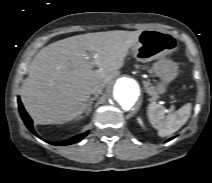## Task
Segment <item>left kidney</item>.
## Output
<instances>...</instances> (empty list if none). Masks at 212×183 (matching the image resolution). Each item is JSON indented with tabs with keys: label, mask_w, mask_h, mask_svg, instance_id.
Here are the masks:
<instances>
[{
	"label": "left kidney",
	"mask_w": 212,
	"mask_h": 183,
	"mask_svg": "<svg viewBox=\"0 0 212 183\" xmlns=\"http://www.w3.org/2000/svg\"><path fill=\"white\" fill-rule=\"evenodd\" d=\"M137 120H138V123H139L142 127H144V124H143L142 119H141V118H138Z\"/></svg>",
	"instance_id": "1"
}]
</instances>
